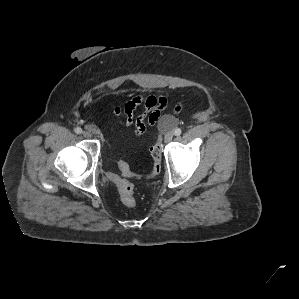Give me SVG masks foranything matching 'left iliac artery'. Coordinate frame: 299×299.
<instances>
[{
    "label": "left iliac artery",
    "mask_w": 299,
    "mask_h": 299,
    "mask_svg": "<svg viewBox=\"0 0 299 299\" xmlns=\"http://www.w3.org/2000/svg\"><path fill=\"white\" fill-rule=\"evenodd\" d=\"M181 133H182V130H181L180 128H176V129L174 130V134H175L176 136H179Z\"/></svg>",
    "instance_id": "44dca946"
}]
</instances>
